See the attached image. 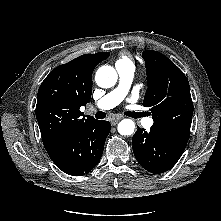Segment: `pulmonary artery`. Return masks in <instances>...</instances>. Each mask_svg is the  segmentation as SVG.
Returning <instances> with one entry per match:
<instances>
[{
  "label": "pulmonary artery",
  "mask_w": 221,
  "mask_h": 221,
  "mask_svg": "<svg viewBox=\"0 0 221 221\" xmlns=\"http://www.w3.org/2000/svg\"><path fill=\"white\" fill-rule=\"evenodd\" d=\"M116 69L119 76V84L98 101L97 108L100 110H109L117 106L128 93L134 77L135 68L134 66H118ZM143 123L146 127H151L154 120L152 118H145Z\"/></svg>",
  "instance_id": "obj_1"
}]
</instances>
